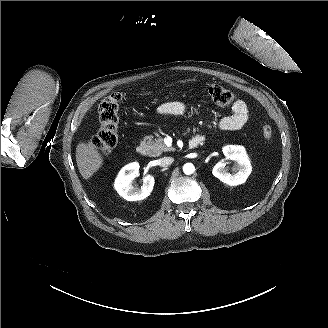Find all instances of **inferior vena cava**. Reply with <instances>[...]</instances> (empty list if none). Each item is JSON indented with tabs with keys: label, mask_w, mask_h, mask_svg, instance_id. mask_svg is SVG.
Segmentation results:
<instances>
[{
	"label": "inferior vena cava",
	"mask_w": 328,
	"mask_h": 328,
	"mask_svg": "<svg viewBox=\"0 0 328 328\" xmlns=\"http://www.w3.org/2000/svg\"><path fill=\"white\" fill-rule=\"evenodd\" d=\"M174 159L172 157H163L159 159V165L161 167H167L173 163Z\"/></svg>",
	"instance_id": "obj_1"
}]
</instances>
